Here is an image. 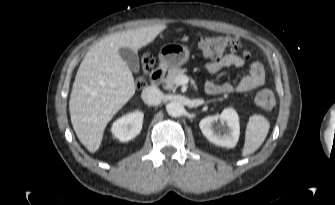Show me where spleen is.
Wrapping results in <instances>:
<instances>
[{
    "label": "spleen",
    "instance_id": "3e777b00",
    "mask_svg": "<svg viewBox=\"0 0 335 205\" xmlns=\"http://www.w3.org/2000/svg\"><path fill=\"white\" fill-rule=\"evenodd\" d=\"M270 128L269 121L262 115L250 116L245 132L242 156L254 153L264 142Z\"/></svg>",
    "mask_w": 335,
    "mask_h": 205
}]
</instances>
